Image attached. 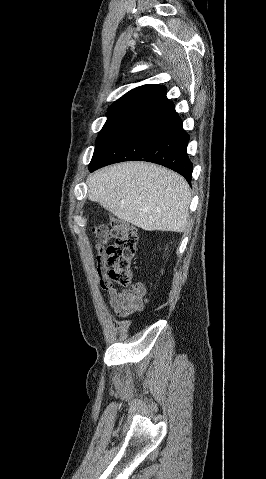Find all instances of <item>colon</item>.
Here are the masks:
<instances>
[{
    "instance_id": "obj_1",
    "label": "colon",
    "mask_w": 266,
    "mask_h": 479,
    "mask_svg": "<svg viewBox=\"0 0 266 479\" xmlns=\"http://www.w3.org/2000/svg\"><path fill=\"white\" fill-rule=\"evenodd\" d=\"M94 232L99 241L98 257L106 262L109 268L108 278L111 285H115L117 289L131 286L132 263L138 241L136 229L132 225L114 221L112 229L99 226ZM109 239H114V243L105 245L104 242Z\"/></svg>"
}]
</instances>
